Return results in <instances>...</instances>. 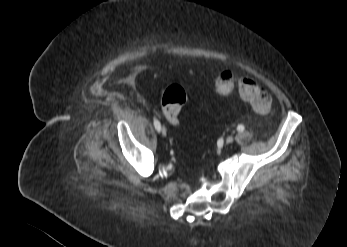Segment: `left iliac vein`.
Instances as JSON below:
<instances>
[{
	"label": "left iliac vein",
	"instance_id": "obj_1",
	"mask_svg": "<svg viewBox=\"0 0 347 247\" xmlns=\"http://www.w3.org/2000/svg\"><path fill=\"white\" fill-rule=\"evenodd\" d=\"M234 141V138L232 137V136H228L227 138H226V143L227 144H231L232 142Z\"/></svg>",
	"mask_w": 347,
	"mask_h": 247
}]
</instances>
